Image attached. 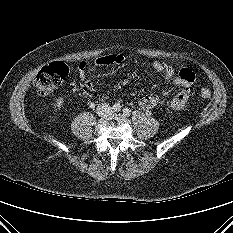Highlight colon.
I'll use <instances>...</instances> for the list:
<instances>
[{"label":"colon","mask_w":233,"mask_h":233,"mask_svg":"<svg viewBox=\"0 0 233 233\" xmlns=\"http://www.w3.org/2000/svg\"><path fill=\"white\" fill-rule=\"evenodd\" d=\"M69 73V69L66 64L62 62L51 63L43 67L36 75L34 84L37 92L41 96H51L59 85L65 80ZM185 76L188 79H193L194 75L186 73ZM200 96L203 100H208L211 97V92L207 88H203L200 91Z\"/></svg>","instance_id":"colon-1"}]
</instances>
